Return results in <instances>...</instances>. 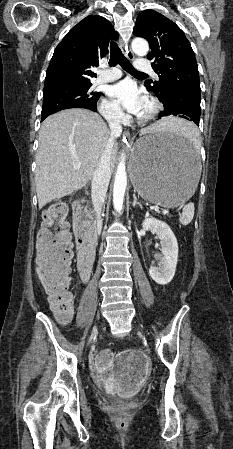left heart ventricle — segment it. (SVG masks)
I'll use <instances>...</instances> for the list:
<instances>
[{
	"mask_svg": "<svg viewBox=\"0 0 233 449\" xmlns=\"http://www.w3.org/2000/svg\"><path fill=\"white\" fill-rule=\"evenodd\" d=\"M149 111V104L148 102L145 103V106L143 108V110L141 111L140 115H144Z\"/></svg>",
	"mask_w": 233,
	"mask_h": 449,
	"instance_id": "b2bd125f",
	"label": "left heart ventricle"
}]
</instances>
